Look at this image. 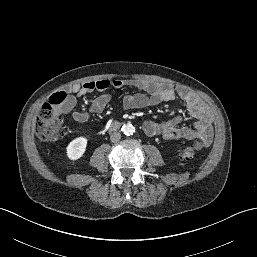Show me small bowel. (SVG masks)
<instances>
[{"mask_svg": "<svg viewBox=\"0 0 257 257\" xmlns=\"http://www.w3.org/2000/svg\"><path fill=\"white\" fill-rule=\"evenodd\" d=\"M110 86L121 89L124 86L134 87L142 93L125 94L122 98V105L125 109H140L148 106H154L162 102H169L178 95L185 103L189 115L195 120L190 126H181L182 118L175 116L172 119L159 123L155 121H146L144 131L148 136H160L165 140L176 139H200L209 143L213 128L209 113L204 104L194 95L184 89L176 90L169 84L159 83L151 80H109L101 79L88 81L82 84H74L66 90L75 96H82L92 92H104ZM112 96L109 93H102L93 99L88 105V111L92 113L102 112L111 102ZM76 99L69 96L66 111L74 109ZM74 110L72 117L77 123H86L89 119V112Z\"/></svg>", "mask_w": 257, "mask_h": 257, "instance_id": "c3829d8e", "label": "small bowel"}]
</instances>
